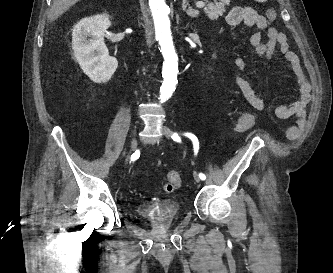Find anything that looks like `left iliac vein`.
Listing matches in <instances>:
<instances>
[{
    "mask_svg": "<svg viewBox=\"0 0 333 273\" xmlns=\"http://www.w3.org/2000/svg\"><path fill=\"white\" fill-rule=\"evenodd\" d=\"M161 130H162V132H163L164 135H166L167 137H171L172 132H171V130H170L169 127H167V126H165V125H162V126H161ZM194 179H195L197 182H200V180H201V179L199 178V176H198L197 174H195V173H194Z\"/></svg>",
    "mask_w": 333,
    "mask_h": 273,
    "instance_id": "1",
    "label": "left iliac vein"
}]
</instances>
